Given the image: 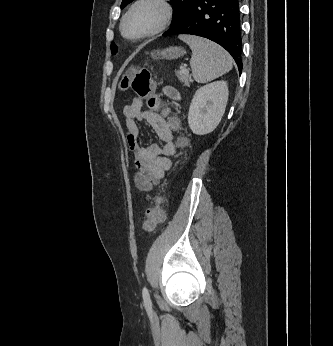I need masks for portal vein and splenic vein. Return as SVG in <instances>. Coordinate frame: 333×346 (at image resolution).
<instances>
[{
	"instance_id": "1",
	"label": "portal vein and splenic vein",
	"mask_w": 333,
	"mask_h": 346,
	"mask_svg": "<svg viewBox=\"0 0 333 346\" xmlns=\"http://www.w3.org/2000/svg\"><path fill=\"white\" fill-rule=\"evenodd\" d=\"M183 73H189L187 69L181 68Z\"/></svg>"
}]
</instances>
